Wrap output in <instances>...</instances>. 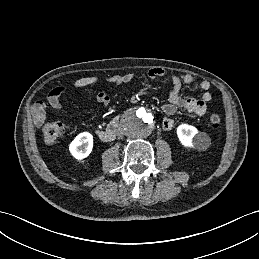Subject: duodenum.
<instances>
[{
    "label": "duodenum",
    "mask_w": 259,
    "mask_h": 259,
    "mask_svg": "<svg viewBox=\"0 0 259 259\" xmlns=\"http://www.w3.org/2000/svg\"><path fill=\"white\" fill-rule=\"evenodd\" d=\"M120 131L119 119L114 118L106 129L98 131L100 139L104 142H111L116 138L117 133Z\"/></svg>",
    "instance_id": "1"
}]
</instances>
